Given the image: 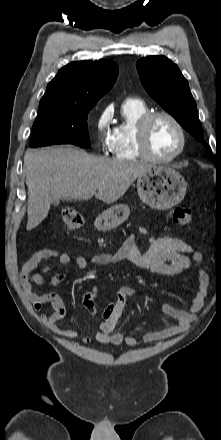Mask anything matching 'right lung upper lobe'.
<instances>
[{
  "instance_id": "obj_1",
  "label": "right lung upper lobe",
  "mask_w": 221,
  "mask_h": 440,
  "mask_svg": "<svg viewBox=\"0 0 221 440\" xmlns=\"http://www.w3.org/2000/svg\"><path fill=\"white\" fill-rule=\"evenodd\" d=\"M118 66L110 60L71 62L48 84L40 102L95 105L116 81Z\"/></svg>"
}]
</instances>
